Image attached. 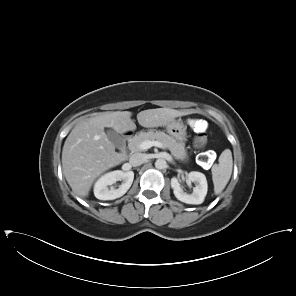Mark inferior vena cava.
I'll list each match as a JSON object with an SVG mask.
<instances>
[{
    "mask_svg": "<svg viewBox=\"0 0 296 296\" xmlns=\"http://www.w3.org/2000/svg\"><path fill=\"white\" fill-rule=\"evenodd\" d=\"M146 161V156L142 153H135L130 156L129 158V164L132 167H137L142 165Z\"/></svg>",
    "mask_w": 296,
    "mask_h": 296,
    "instance_id": "inferior-vena-cava-1",
    "label": "inferior vena cava"
}]
</instances>
